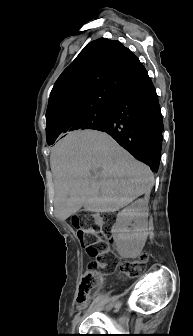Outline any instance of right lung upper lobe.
<instances>
[{"instance_id": "obj_1", "label": "right lung upper lobe", "mask_w": 193, "mask_h": 336, "mask_svg": "<svg viewBox=\"0 0 193 336\" xmlns=\"http://www.w3.org/2000/svg\"><path fill=\"white\" fill-rule=\"evenodd\" d=\"M141 62L119 41L89 43L57 79L46 112L47 141L70 134L76 119L111 103Z\"/></svg>"}]
</instances>
